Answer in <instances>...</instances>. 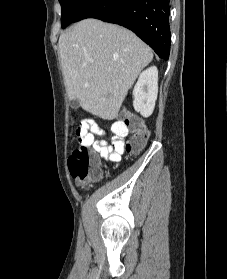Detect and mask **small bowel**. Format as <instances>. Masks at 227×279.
Here are the masks:
<instances>
[{
  "label": "small bowel",
  "mask_w": 227,
  "mask_h": 279,
  "mask_svg": "<svg viewBox=\"0 0 227 279\" xmlns=\"http://www.w3.org/2000/svg\"><path fill=\"white\" fill-rule=\"evenodd\" d=\"M82 129H86L92 136L93 141L91 143V147L102 158H105L113 163L121 161L122 156L126 153L125 137L127 136V129L121 124V122H113L111 124V144H108L104 138H101V136L106 134L103 121L89 119L85 122ZM75 181L80 184L78 178H75Z\"/></svg>",
  "instance_id": "c3829d8e"
}]
</instances>
